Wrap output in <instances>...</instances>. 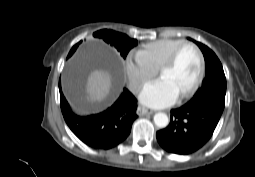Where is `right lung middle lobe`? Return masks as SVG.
Returning <instances> with one entry per match:
<instances>
[{"instance_id":"obj_1","label":"right lung middle lobe","mask_w":255,"mask_h":177,"mask_svg":"<svg viewBox=\"0 0 255 177\" xmlns=\"http://www.w3.org/2000/svg\"><path fill=\"white\" fill-rule=\"evenodd\" d=\"M93 35L102 38L106 43L113 45L124 59L130 49L138 44L136 39H131L126 34L115 32L113 30L103 29L95 32ZM78 44L76 45L75 50Z\"/></svg>"}]
</instances>
